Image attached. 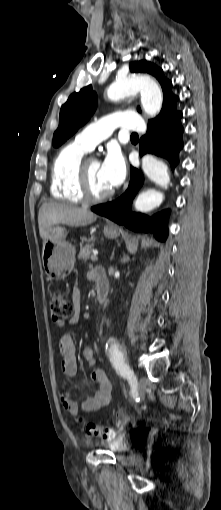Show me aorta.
Returning <instances> with one entry per match:
<instances>
[{"label": "aorta", "instance_id": "1", "mask_svg": "<svg viewBox=\"0 0 221 510\" xmlns=\"http://www.w3.org/2000/svg\"><path fill=\"white\" fill-rule=\"evenodd\" d=\"M141 93L143 110L151 117L156 116L162 107L163 95L157 83L146 75H130L112 83L107 89V96L112 101L125 98L129 95ZM142 169L147 177L157 185L167 188L170 177L165 163L152 155L142 158ZM164 195L155 189L143 191L135 201V209L140 212H148L160 206ZM108 347H116V341L110 337Z\"/></svg>", "mask_w": 221, "mask_h": 510}]
</instances>
